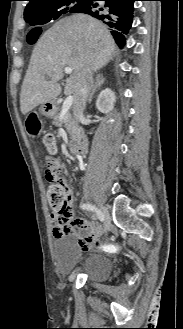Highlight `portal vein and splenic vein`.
I'll list each match as a JSON object with an SVG mask.
<instances>
[{"label": "portal vein and splenic vein", "mask_w": 183, "mask_h": 329, "mask_svg": "<svg viewBox=\"0 0 183 329\" xmlns=\"http://www.w3.org/2000/svg\"><path fill=\"white\" fill-rule=\"evenodd\" d=\"M64 71L66 73H72L73 69L71 67H65ZM74 101V97L72 95H69L65 101L63 102L62 108H61V113H60V118L62 119L65 114L69 111L70 107L72 106Z\"/></svg>", "instance_id": "obj_1"}]
</instances>
